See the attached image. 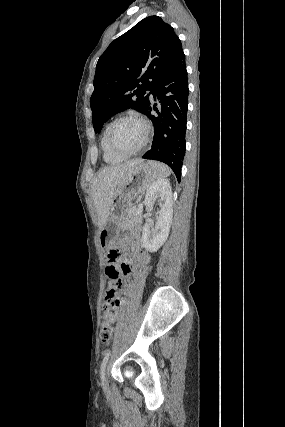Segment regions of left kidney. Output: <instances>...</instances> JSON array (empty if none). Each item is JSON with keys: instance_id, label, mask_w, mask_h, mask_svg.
Wrapping results in <instances>:
<instances>
[{"instance_id": "obj_1", "label": "left kidney", "mask_w": 285, "mask_h": 427, "mask_svg": "<svg viewBox=\"0 0 285 427\" xmlns=\"http://www.w3.org/2000/svg\"><path fill=\"white\" fill-rule=\"evenodd\" d=\"M160 198L161 207L158 211L155 226L145 223L142 230V243L149 252H156L167 240L173 214L172 191L169 180L159 179L148 188L144 205L153 208L154 201Z\"/></svg>"}]
</instances>
